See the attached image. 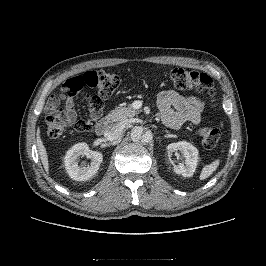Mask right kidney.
<instances>
[{
    "instance_id": "right-kidney-1",
    "label": "right kidney",
    "mask_w": 266,
    "mask_h": 266,
    "mask_svg": "<svg viewBox=\"0 0 266 266\" xmlns=\"http://www.w3.org/2000/svg\"><path fill=\"white\" fill-rule=\"evenodd\" d=\"M81 155H86L91 159L90 166L78 165V158ZM102 160V153L90 150L86 143H78L67 151L65 168L73 180L85 181L97 173Z\"/></svg>"
}]
</instances>
